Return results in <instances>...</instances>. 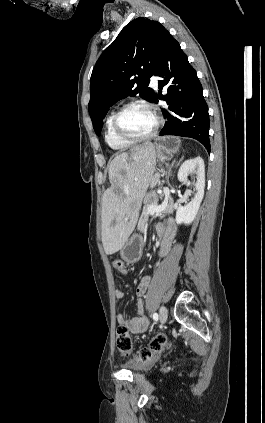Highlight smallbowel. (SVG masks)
Here are the masks:
<instances>
[{"label":"small bowel","instance_id":"1","mask_svg":"<svg viewBox=\"0 0 265 423\" xmlns=\"http://www.w3.org/2000/svg\"><path fill=\"white\" fill-rule=\"evenodd\" d=\"M157 232L162 231L163 232V239L161 241L160 245V256H165L170 251L173 241L176 236V225L171 219H167L163 223H160L156 226ZM121 275L126 276L128 274L127 269L124 267L120 272ZM149 285V277L143 276L140 278L137 286H136V295L139 298L137 304H136V311L138 314V317L133 318H127L123 314H118L116 316V320L118 324L125 325L128 330L133 334H141L146 331L148 328V319L144 314V304L142 301V297L146 294L147 288ZM116 297L118 299H121L124 297V292L121 290H116L115 292Z\"/></svg>","mask_w":265,"mask_h":423}]
</instances>
